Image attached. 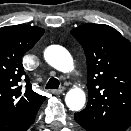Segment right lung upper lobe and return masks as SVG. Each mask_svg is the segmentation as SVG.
Segmentation results:
<instances>
[{"label": "right lung upper lobe", "mask_w": 131, "mask_h": 131, "mask_svg": "<svg viewBox=\"0 0 131 131\" xmlns=\"http://www.w3.org/2000/svg\"><path fill=\"white\" fill-rule=\"evenodd\" d=\"M43 33L44 29L29 25L0 28V123L28 118L46 98L32 90L22 65L23 55ZM21 81L26 82L24 89Z\"/></svg>", "instance_id": "cb5924a9"}]
</instances>
